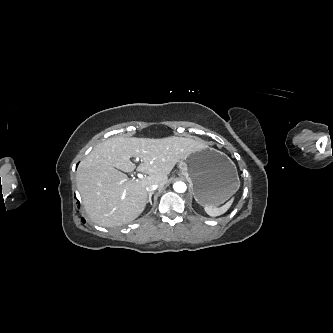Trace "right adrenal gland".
I'll use <instances>...</instances> for the list:
<instances>
[{"label": "right adrenal gland", "instance_id": "obj_1", "mask_svg": "<svg viewBox=\"0 0 333 333\" xmlns=\"http://www.w3.org/2000/svg\"><path fill=\"white\" fill-rule=\"evenodd\" d=\"M154 194V192H150L149 193V197H148V200H147V203H150V205H152V200H151V198H152V195Z\"/></svg>", "mask_w": 333, "mask_h": 333}]
</instances>
